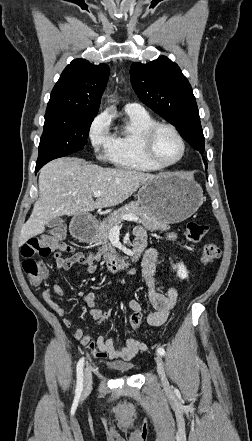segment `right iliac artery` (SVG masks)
<instances>
[{"label":"right iliac artery","instance_id":"obj_1","mask_svg":"<svg viewBox=\"0 0 252 441\" xmlns=\"http://www.w3.org/2000/svg\"><path fill=\"white\" fill-rule=\"evenodd\" d=\"M83 367L84 358H81L77 363V384H76V394L80 395L83 389Z\"/></svg>","mask_w":252,"mask_h":441}]
</instances>
